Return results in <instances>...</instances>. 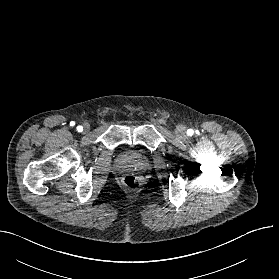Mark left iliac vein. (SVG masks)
<instances>
[{"instance_id":"1","label":"left iliac vein","mask_w":279,"mask_h":279,"mask_svg":"<svg viewBox=\"0 0 279 279\" xmlns=\"http://www.w3.org/2000/svg\"><path fill=\"white\" fill-rule=\"evenodd\" d=\"M175 133H176V135H177L178 137H180V138H182V139H184V138L187 137L186 129H185V127L182 126V125H178V126L176 127Z\"/></svg>"}]
</instances>
